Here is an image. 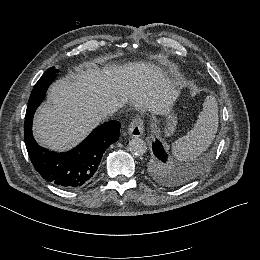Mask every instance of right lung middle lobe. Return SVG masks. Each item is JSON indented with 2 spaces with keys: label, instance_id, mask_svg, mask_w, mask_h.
<instances>
[{
  "label": "right lung middle lobe",
  "instance_id": "dd1d6c3e",
  "mask_svg": "<svg viewBox=\"0 0 260 260\" xmlns=\"http://www.w3.org/2000/svg\"><path fill=\"white\" fill-rule=\"evenodd\" d=\"M57 72H58L57 69L51 67L39 79V81L34 86L32 93L30 95L26 113H34L35 109L42 102L46 90L50 85V83L54 80L55 74Z\"/></svg>",
  "mask_w": 260,
  "mask_h": 260
}]
</instances>
